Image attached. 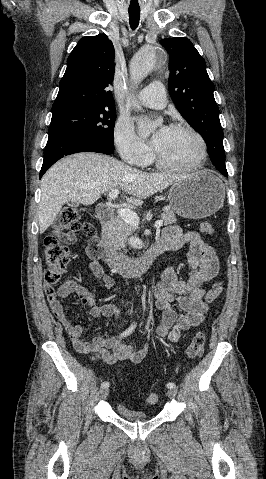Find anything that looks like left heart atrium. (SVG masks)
Here are the masks:
<instances>
[{"instance_id": "39dd6f15", "label": "left heart atrium", "mask_w": 266, "mask_h": 479, "mask_svg": "<svg viewBox=\"0 0 266 479\" xmlns=\"http://www.w3.org/2000/svg\"><path fill=\"white\" fill-rule=\"evenodd\" d=\"M167 128H162L161 130H159L155 135H154V138H153V144L154 146L156 147L160 141L162 140L165 132H166Z\"/></svg>"}]
</instances>
